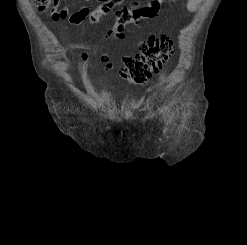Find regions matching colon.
<instances>
[{"label": "colon", "instance_id": "obj_1", "mask_svg": "<svg viewBox=\"0 0 247 245\" xmlns=\"http://www.w3.org/2000/svg\"><path fill=\"white\" fill-rule=\"evenodd\" d=\"M40 11H46L52 0H32ZM99 5L89 14L91 23H95L100 17L107 15L121 4L122 0H98ZM109 35L116 36L111 30ZM173 54V40L170 36L149 37L141 41L139 53L136 56H128L123 60L124 66L119 70V76L134 84H145L154 74L158 73ZM103 61L107 67H111L106 56Z\"/></svg>", "mask_w": 247, "mask_h": 245}]
</instances>
